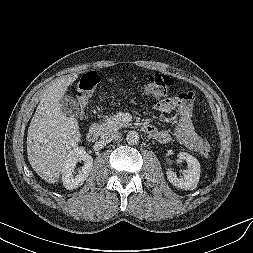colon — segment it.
I'll return each instance as SVG.
<instances>
[{
  "label": "colon",
  "mask_w": 253,
  "mask_h": 253,
  "mask_svg": "<svg viewBox=\"0 0 253 253\" xmlns=\"http://www.w3.org/2000/svg\"><path fill=\"white\" fill-rule=\"evenodd\" d=\"M99 82L100 78L95 72L85 74L79 81L75 94L80 116L84 114L89 100L94 94ZM172 84L173 80L168 75L159 73L152 74L148 78L146 84L142 87V92L144 95L151 98H161L167 95ZM176 98L188 102L194 101V96L191 92H181ZM199 152L203 156H208L210 154V145L204 139H201L200 141Z\"/></svg>",
  "instance_id": "colon-1"
}]
</instances>
